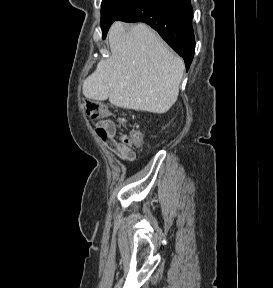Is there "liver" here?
Masks as SVG:
<instances>
[{
    "mask_svg": "<svg viewBox=\"0 0 273 288\" xmlns=\"http://www.w3.org/2000/svg\"><path fill=\"white\" fill-rule=\"evenodd\" d=\"M111 55L83 83L86 98L120 108L166 113L176 102L183 60L146 24L115 22L109 30Z\"/></svg>",
    "mask_w": 273,
    "mask_h": 288,
    "instance_id": "6515ba94",
    "label": "liver"
}]
</instances>
